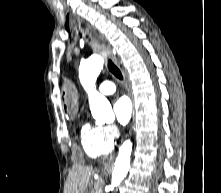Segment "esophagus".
<instances>
[{
  "mask_svg": "<svg viewBox=\"0 0 221 193\" xmlns=\"http://www.w3.org/2000/svg\"><path fill=\"white\" fill-rule=\"evenodd\" d=\"M75 21H78L79 25L81 22H84L82 19H80L79 17L75 16V15H69V24L74 23ZM86 28L87 30L91 31L92 35H93V39L95 41L96 44L100 45L103 50L106 52V54H108L111 59L113 60V62L118 65L117 59L113 53V51L111 50V48L106 44V42L102 39L101 35L97 32V30L95 29L94 26H92L91 24H89L88 22H85ZM124 80H125V75H123ZM130 96H131V92L130 90H128ZM131 104H135V101H133V97L131 96ZM132 108H135V105H132ZM133 116H134V109H133ZM132 127L135 125L133 122L130 124ZM130 128L129 130L132 132L134 129Z\"/></svg>",
  "mask_w": 221,
  "mask_h": 193,
  "instance_id": "esophagus-1",
  "label": "esophagus"
}]
</instances>
